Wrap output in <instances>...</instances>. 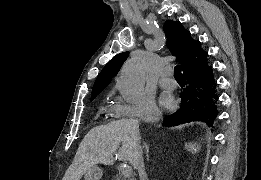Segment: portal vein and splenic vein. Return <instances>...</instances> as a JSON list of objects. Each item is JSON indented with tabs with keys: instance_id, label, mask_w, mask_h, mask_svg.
I'll list each match as a JSON object with an SVG mask.
<instances>
[{
	"instance_id": "portal-vein-and-splenic-vein-1",
	"label": "portal vein and splenic vein",
	"mask_w": 261,
	"mask_h": 180,
	"mask_svg": "<svg viewBox=\"0 0 261 180\" xmlns=\"http://www.w3.org/2000/svg\"><path fill=\"white\" fill-rule=\"evenodd\" d=\"M121 174H123V178H129V176H132L133 170L132 168H122Z\"/></svg>"
}]
</instances>
